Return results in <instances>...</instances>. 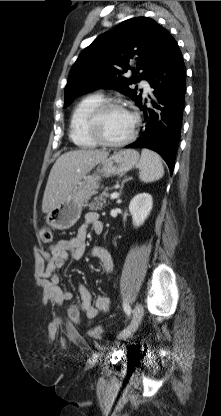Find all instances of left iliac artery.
Returning <instances> with one entry per match:
<instances>
[{
	"label": "left iliac artery",
	"mask_w": 221,
	"mask_h": 416,
	"mask_svg": "<svg viewBox=\"0 0 221 416\" xmlns=\"http://www.w3.org/2000/svg\"><path fill=\"white\" fill-rule=\"evenodd\" d=\"M123 308H124L125 313L129 316L131 314V307L129 306L127 302L123 303Z\"/></svg>",
	"instance_id": "obj_1"
}]
</instances>
